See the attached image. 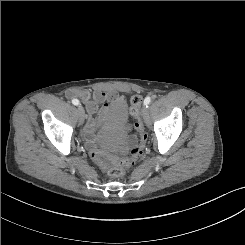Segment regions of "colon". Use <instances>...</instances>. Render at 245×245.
Here are the masks:
<instances>
[{
	"label": "colon",
	"instance_id": "obj_1",
	"mask_svg": "<svg viewBox=\"0 0 245 245\" xmlns=\"http://www.w3.org/2000/svg\"><path fill=\"white\" fill-rule=\"evenodd\" d=\"M130 103V112L131 115L135 118L134 128L138 137L137 143L130 151V156L127 158L111 161L103 157L96 150L91 152V157L97 166L112 177L124 176L125 170L135 165L136 162L143 156V151L146 144L147 135L145 133L144 125L141 119L142 97L140 95H134L131 97Z\"/></svg>",
	"mask_w": 245,
	"mask_h": 245
}]
</instances>
